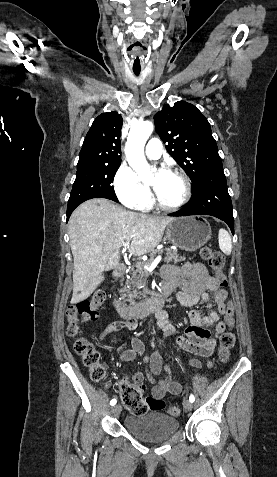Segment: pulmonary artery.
<instances>
[{
    "instance_id": "e3ab8cb5",
    "label": "pulmonary artery",
    "mask_w": 277,
    "mask_h": 477,
    "mask_svg": "<svg viewBox=\"0 0 277 477\" xmlns=\"http://www.w3.org/2000/svg\"><path fill=\"white\" fill-rule=\"evenodd\" d=\"M145 154L150 159H158L162 154V145L159 139L152 138L148 141Z\"/></svg>"
}]
</instances>
